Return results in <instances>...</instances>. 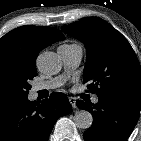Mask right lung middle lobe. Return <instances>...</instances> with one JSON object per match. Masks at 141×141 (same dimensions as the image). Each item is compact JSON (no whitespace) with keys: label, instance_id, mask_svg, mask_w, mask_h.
Here are the masks:
<instances>
[{"label":"right lung middle lobe","instance_id":"1","mask_svg":"<svg viewBox=\"0 0 141 141\" xmlns=\"http://www.w3.org/2000/svg\"><path fill=\"white\" fill-rule=\"evenodd\" d=\"M36 75L35 64L17 59L0 61V98L28 96L29 81Z\"/></svg>","mask_w":141,"mask_h":141}]
</instances>
